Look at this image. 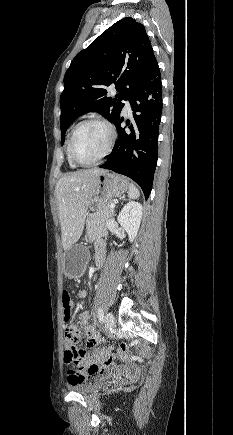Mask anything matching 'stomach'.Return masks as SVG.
I'll return each instance as SVG.
<instances>
[{"label": "stomach", "mask_w": 233, "mask_h": 435, "mask_svg": "<svg viewBox=\"0 0 233 435\" xmlns=\"http://www.w3.org/2000/svg\"><path fill=\"white\" fill-rule=\"evenodd\" d=\"M129 188V182L124 177L112 174L108 171L97 177L93 199L89 204L92 212L97 211L102 205L107 204L113 198L121 196ZM88 260V250L82 245H72L63 253V270L71 279H78L85 272Z\"/></svg>", "instance_id": "0dacf381"}]
</instances>
